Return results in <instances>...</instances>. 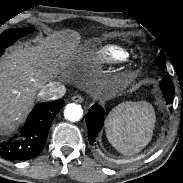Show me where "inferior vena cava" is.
<instances>
[{"label": "inferior vena cava", "instance_id": "602c4592", "mask_svg": "<svg viewBox=\"0 0 183 183\" xmlns=\"http://www.w3.org/2000/svg\"><path fill=\"white\" fill-rule=\"evenodd\" d=\"M66 93V88L59 82H50L42 87L38 95L43 100H55L61 98Z\"/></svg>", "mask_w": 183, "mask_h": 183}]
</instances>
